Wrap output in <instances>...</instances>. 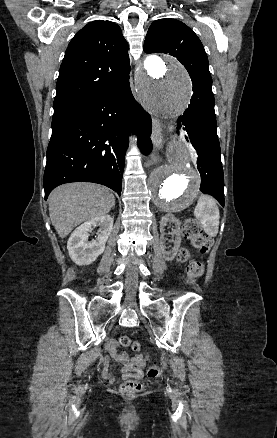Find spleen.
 Listing matches in <instances>:
<instances>
[{"label": "spleen", "instance_id": "obj_1", "mask_svg": "<svg viewBox=\"0 0 277 438\" xmlns=\"http://www.w3.org/2000/svg\"><path fill=\"white\" fill-rule=\"evenodd\" d=\"M194 216L200 220L204 232L208 236H217L219 226V208L211 196H200L194 210Z\"/></svg>", "mask_w": 277, "mask_h": 438}]
</instances>
